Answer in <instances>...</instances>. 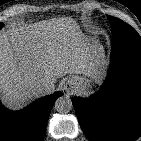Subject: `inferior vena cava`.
Returning a JSON list of instances; mask_svg holds the SVG:
<instances>
[{"label": "inferior vena cava", "instance_id": "obj_1", "mask_svg": "<svg viewBox=\"0 0 141 141\" xmlns=\"http://www.w3.org/2000/svg\"><path fill=\"white\" fill-rule=\"evenodd\" d=\"M54 88H55V85L52 81L48 79H43L39 83L36 84L34 90L40 95H45L53 91Z\"/></svg>", "mask_w": 141, "mask_h": 141}]
</instances>
